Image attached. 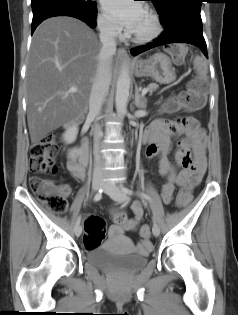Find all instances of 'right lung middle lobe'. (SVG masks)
<instances>
[{"instance_id": "obj_1", "label": "right lung middle lobe", "mask_w": 238, "mask_h": 315, "mask_svg": "<svg viewBox=\"0 0 238 315\" xmlns=\"http://www.w3.org/2000/svg\"><path fill=\"white\" fill-rule=\"evenodd\" d=\"M69 1L86 6V7L96 6V3L93 0H69Z\"/></svg>"}]
</instances>
